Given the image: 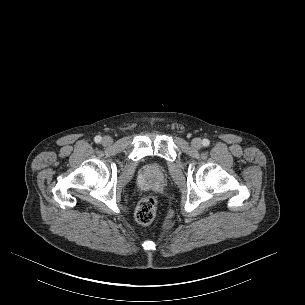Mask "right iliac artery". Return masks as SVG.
I'll use <instances>...</instances> for the list:
<instances>
[{
  "label": "right iliac artery",
  "mask_w": 305,
  "mask_h": 305,
  "mask_svg": "<svg viewBox=\"0 0 305 305\" xmlns=\"http://www.w3.org/2000/svg\"><path fill=\"white\" fill-rule=\"evenodd\" d=\"M101 140H102L101 136H96V137L94 138V141H95L96 143H100Z\"/></svg>",
  "instance_id": "right-iliac-artery-1"
}]
</instances>
